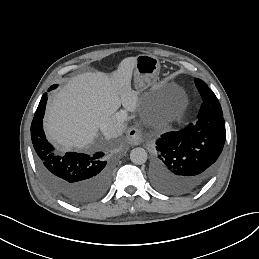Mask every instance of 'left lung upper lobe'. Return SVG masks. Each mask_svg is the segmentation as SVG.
<instances>
[{"label": "left lung upper lobe", "instance_id": "obj_1", "mask_svg": "<svg viewBox=\"0 0 259 259\" xmlns=\"http://www.w3.org/2000/svg\"><path fill=\"white\" fill-rule=\"evenodd\" d=\"M195 84H196V86H197V88H198V90L199 91H202V90H204V91H208L209 90V88H208V86L206 85V83L204 82V81H202V80H200V79H195Z\"/></svg>", "mask_w": 259, "mask_h": 259}]
</instances>
